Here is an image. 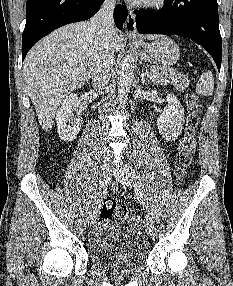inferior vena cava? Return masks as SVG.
<instances>
[{"mask_svg":"<svg viewBox=\"0 0 233 286\" xmlns=\"http://www.w3.org/2000/svg\"><path fill=\"white\" fill-rule=\"evenodd\" d=\"M114 7L115 0H105L91 20V26L97 31L91 77L95 90L99 92L106 89L114 61V45L111 42Z\"/></svg>","mask_w":233,"mask_h":286,"instance_id":"1","label":"inferior vena cava"}]
</instances>
